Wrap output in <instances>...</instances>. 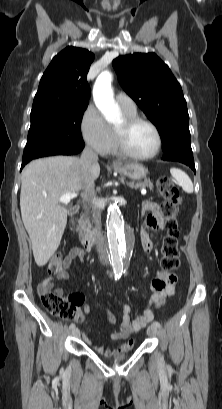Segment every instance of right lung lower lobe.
<instances>
[{"mask_svg": "<svg viewBox=\"0 0 222 409\" xmlns=\"http://www.w3.org/2000/svg\"><path fill=\"white\" fill-rule=\"evenodd\" d=\"M83 148H84V146L81 147V148H79L74 154L79 153ZM33 159H35V158H33ZM31 160H32V159L22 161L21 169H22L28 162H30Z\"/></svg>", "mask_w": 222, "mask_h": 409, "instance_id": "right-lung-lower-lobe-1", "label": "right lung lower lobe"}]
</instances>
